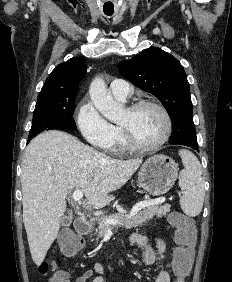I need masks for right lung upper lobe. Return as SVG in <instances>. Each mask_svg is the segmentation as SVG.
<instances>
[{"mask_svg":"<svg viewBox=\"0 0 232 282\" xmlns=\"http://www.w3.org/2000/svg\"><path fill=\"white\" fill-rule=\"evenodd\" d=\"M83 58H72L61 63L47 77L39 95L76 94L79 82L86 74Z\"/></svg>","mask_w":232,"mask_h":282,"instance_id":"right-lung-upper-lobe-1","label":"right lung upper lobe"}]
</instances>
